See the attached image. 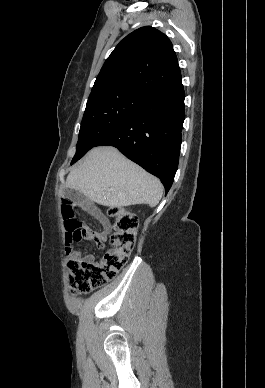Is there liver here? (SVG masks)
<instances>
[{
	"label": "liver",
	"instance_id": "obj_1",
	"mask_svg": "<svg viewBox=\"0 0 265 388\" xmlns=\"http://www.w3.org/2000/svg\"><path fill=\"white\" fill-rule=\"evenodd\" d=\"M66 188L78 190L91 202L110 208L133 204H159L163 186L155 176L142 170L112 146H99L88 152L83 164L72 170Z\"/></svg>",
	"mask_w": 265,
	"mask_h": 388
}]
</instances>
